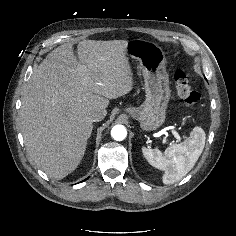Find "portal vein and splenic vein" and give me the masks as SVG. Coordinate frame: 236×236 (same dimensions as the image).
<instances>
[{"mask_svg":"<svg viewBox=\"0 0 236 236\" xmlns=\"http://www.w3.org/2000/svg\"><path fill=\"white\" fill-rule=\"evenodd\" d=\"M172 134L174 135V137L177 139L178 142H180L182 140V138L180 137V135L176 131L173 130Z\"/></svg>","mask_w":236,"mask_h":236,"instance_id":"portal-vein-and-splenic-vein-1","label":"portal vein and splenic vein"}]
</instances>
